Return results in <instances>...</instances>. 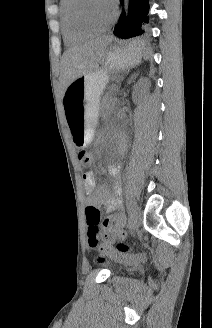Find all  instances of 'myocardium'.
Returning a JSON list of instances; mask_svg holds the SVG:
<instances>
[{
  "label": "myocardium",
  "mask_w": 212,
  "mask_h": 328,
  "mask_svg": "<svg viewBox=\"0 0 212 328\" xmlns=\"http://www.w3.org/2000/svg\"><path fill=\"white\" fill-rule=\"evenodd\" d=\"M73 3L70 8V16L73 24L82 30L98 33L108 30L112 25L116 22L118 17V10L117 7L114 6V13L112 19L103 26H97L95 24L90 23L82 13V9L84 4L87 2V0H72Z\"/></svg>",
  "instance_id": "obj_1"
}]
</instances>
